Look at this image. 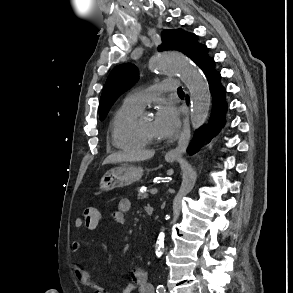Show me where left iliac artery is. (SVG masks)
<instances>
[{"label": "left iliac artery", "instance_id": "1", "mask_svg": "<svg viewBox=\"0 0 293 293\" xmlns=\"http://www.w3.org/2000/svg\"><path fill=\"white\" fill-rule=\"evenodd\" d=\"M156 292L157 293H165L166 292V289L165 287L162 285V284H159L156 288Z\"/></svg>", "mask_w": 293, "mask_h": 293}]
</instances>
